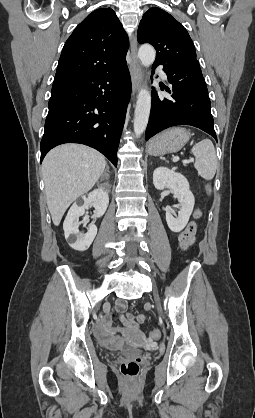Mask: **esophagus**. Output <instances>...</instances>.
<instances>
[{
    "mask_svg": "<svg viewBox=\"0 0 255 418\" xmlns=\"http://www.w3.org/2000/svg\"><path fill=\"white\" fill-rule=\"evenodd\" d=\"M131 75H132V89L135 95L142 83L143 73L137 57V42L134 38L131 44Z\"/></svg>",
    "mask_w": 255,
    "mask_h": 418,
    "instance_id": "esophagus-1",
    "label": "esophagus"
}]
</instances>
